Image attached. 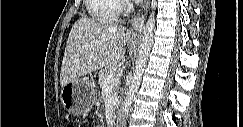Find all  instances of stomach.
Returning <instances> with one entry per match:
<instances>
[{"label":"stomach","instance_id":"1","mask_svg":"<svg viewBox=\"0 0 243 127\" xmlns=\"http://www.w3.org/2000/svg\"><path fill=\"white\" fill-rule=\"evenodd\" d=\"M96 86L87 78L73 80L62 87L61 102L72 115L88 113L96 102Z\"/></svg>","mask_w":243,"mask_h":127}]
</instances>
